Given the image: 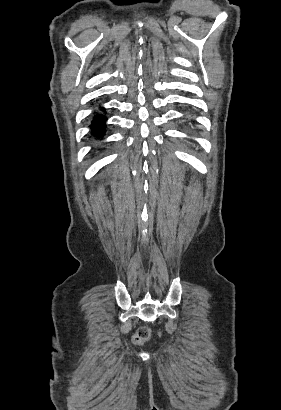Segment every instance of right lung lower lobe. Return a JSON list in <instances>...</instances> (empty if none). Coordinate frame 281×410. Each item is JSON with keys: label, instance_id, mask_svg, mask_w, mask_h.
Returning <instances> with one entry per match:
<instances>
[{"label": "right lung lower lobe", "instance_id": "obj_1", "mask_svg": "<svg viewBox=\"0 0 281 410\" xmlns=\"http://www.w3.org/2000/svg\"><path fill=\"white\" fill-rule=\"evenodd\" d=\"M106 119L100 114H95L91 122L90 128L93 136L102 138L105 133Z\"/></svg>", "mask_w": 281, "mask_h": 410}]
</instances>
